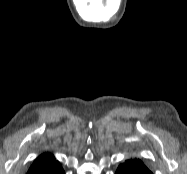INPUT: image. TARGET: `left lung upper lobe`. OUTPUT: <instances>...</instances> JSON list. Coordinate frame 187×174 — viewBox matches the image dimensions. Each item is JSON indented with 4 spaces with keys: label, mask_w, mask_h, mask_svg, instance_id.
Listing matches in <instances>:
<instances>
[{
    "label": "left lung upper lobe",
    "mask_w": 187,
    "mask_h": 174,
    "mask_svg": "<svg viewBox=\"0 0 187 174\" xmlns=\"http://www.w3.org/2000/svg\"><path fill=\"white\" fill-rule=\"evenodd\" d=\"M125 164H127L129 166H134V167H145L143 162L139 159L128 160V161H126Z\"/></svg>",
    "instance_id": "1"
}]
</instances>
